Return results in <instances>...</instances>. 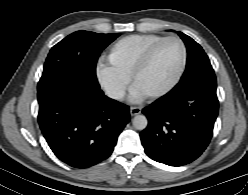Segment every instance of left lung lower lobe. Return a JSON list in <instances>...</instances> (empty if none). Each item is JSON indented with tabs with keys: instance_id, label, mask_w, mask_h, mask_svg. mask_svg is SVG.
I'll list each match as a JSON object with an SVG mask.
<instances>
[{
	"instance_id": "left-lung-lower-lobe-1",
	"label": "left lung lower lobe",
	"mask_w": 248,
	"mask_h": 195,
	"mask_svg": "<svg viewBox=\"0 0 248 195\" xmlns=\"http://www.w3.org/2000/svg\"><path fill=\"white\" fill-rule=\"evenodd\" d=\"M216 87L204 84L181 90L176 86L163 100L143 109L148 126L140 137L150 158L181 166L202 154L218 115Z\"/></svg>"
}]
</instances>
